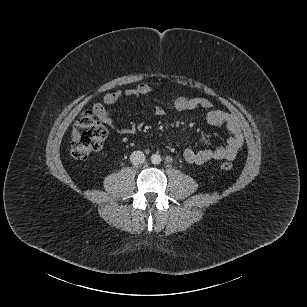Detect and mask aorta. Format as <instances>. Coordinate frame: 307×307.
<instances>
[{"mask_svg":"<svg viewBox=\"0 0 307 307\" xmlns=\"http://www.w3.org/2000/svg\"><path fill=\"white\" fill-rule=\"evenodd\" d=\"M150 160H151L152 164L158 165V164L161 163L162 158H161V156L159 154H153L151 156Z\"/></svg>","mask_w":307,"mask_h":307,"instance_id":"762f6f07","label":"aorta"}]
</instances>
